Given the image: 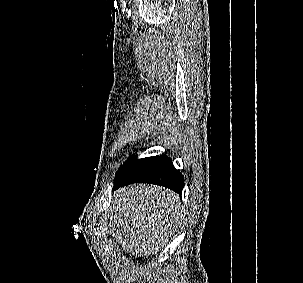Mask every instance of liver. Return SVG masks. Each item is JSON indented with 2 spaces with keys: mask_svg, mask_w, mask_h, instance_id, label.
<instances>
[{
  "mask_svg": "<svg viewBox=\"0 0 303 283\" xmlns=\"http://www.w3.org/2000/svg\"><path fill=\"white\" fill-rule=\"evenodd\" d=\"M181 214L178 195L159 186L135 184L114 192L110 220L127 253L153 255L164 247Z\"/></svg>",
  "mask_w": 303,
  "mask_h": 283,
  "instance_id": "6515ba94",
  "label": "liver"
}]
</instances>
